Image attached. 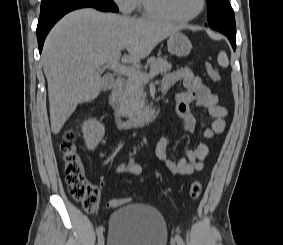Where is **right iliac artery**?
Here are the masks:
<instances>
[{
    "label": "right iliac artery",
    "mask_w": 283,
    "mask_h": 245,
    "mask_svg": "<svg viewBox=\"0 0 283 245\" xmlns=\"http://www.w3.org/2000/svg\"><path fill=\"white\" fill-rule=\"evenodd\" d=\"M133 162H134V160L131 159L130 163H133ZM103 230H104V228L102 226H99L96 230L97 235L100 236L103 233Z\"/></svg>",
    "instance_id": "obj_1"
}]
</instances>
